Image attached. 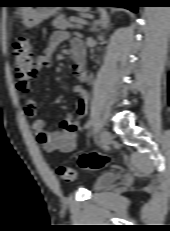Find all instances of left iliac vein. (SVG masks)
<instances>
[{
  "mask_svg": "<svg viewBox=\"0 0 170 231\" xmlns=\"http://www.w3.org/2000/svg\"><path fill=\"white\" fill-rule=\"evenodd\" d=\"M113 137H112V134L104 129L102 132H101V143H102V147H107L111 141H112Z\"/></svg>",
  "mask_w": 170,
  "mask_h": 231,
  "instance_id": "4c4485c4",
  "label": "left iliac vein"
}]
</instances>
